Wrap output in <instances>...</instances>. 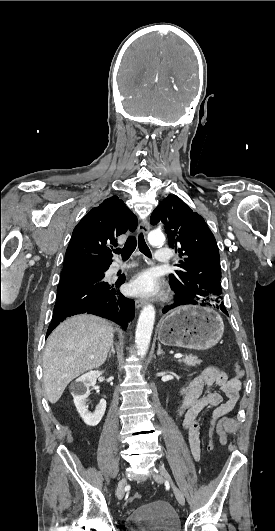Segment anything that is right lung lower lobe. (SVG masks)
Returning a JSON list of instances; mask_svg holds the SVG:
<instances>
[{"mask_svg": "<svg viewBox=\"0 0 275 531\" xmlns=\"http://www.w3.org/2000/svg\"><path fill=\"white\" fill-rule=\"evenodd\" d=\"M108 266L82 265L63 269L57 287V299L46 337L66 317L89 313L114 321L126 328L134 318V301L123 296L115 283L104 280Z\"/></svg>", "mask_w": 275, "mask_h": 531, "instance_id": "1", "label": "right lung lower lobe"}]
</instances>
